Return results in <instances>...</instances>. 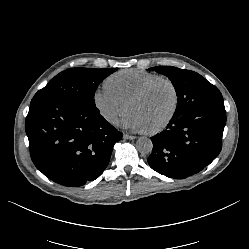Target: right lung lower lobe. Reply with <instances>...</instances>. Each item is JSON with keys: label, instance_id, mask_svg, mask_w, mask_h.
Here are the masks:
<instances>
[{"label": "right lung lower lobe", "instance_id": "98d812e1", "mask_svg": "<svg viewBox=\"0 0 249 249\" xmlns=\"http://www.w3.org/2000/svg\"><path fill=\"white\" fill-rule=\"evenodd\" d=\"M26 134L35 166L54 182L71 187L98 178L122 138L96 107L68 99L32 104Z\"/></svg>", "mask_w": 249, "mask_h": 249}]
</instances>
